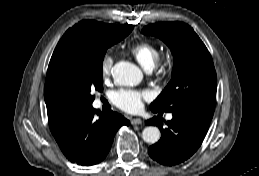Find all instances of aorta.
<instances>
[{
    "instance_id": "obj_1",
    "label": "aorta",
    "mask_w": 259,
    "mask_h": 176,
    "mask_svg": "<svg viewBox=\"0 0 259 176\" xmlns=\"http://www.w3.org/2000/svg\"><path fill=\"white\" fill-rule=\"evenodd\" d=\"M112 76L116 83L130 86L138 84L142 75L138 67L128 61H120L112 68ZM161 137L160 130L155 126H148L142 132V138L146 143L154 144Z\"/></svg>"
}]
</instances>
